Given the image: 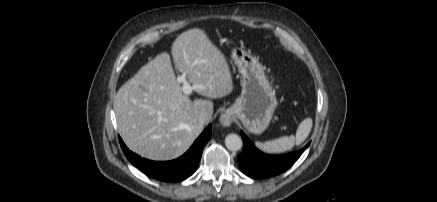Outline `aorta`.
<instances>
[{"instance_id":"762f6f07","label":"aorta","mask_w":437,"mask_h":202,"mask_svg":"<svg viewBox=\"0 0 437 202\" xmlns=\"http://www.w3.org/2000/svg\"><path fill=\"white\" fill-rule=\"evenodd\" d=\"M225 145L230 151H238L242 148V139L236 134H229L225 138Z\"/></svg>"}]
</instances>
